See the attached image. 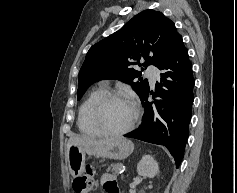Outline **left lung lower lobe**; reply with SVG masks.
Wrapping results in <instances>:
<instances>
[{"instance_id":"left-lung-lower-lobe-1","label":"left lung lower lobe","mask_w":237,"mask_h":193,"mask_svg":"<svg viewBox=\"0 0 237 193\" xmlns=\"http://www.w3.org/2000/svg\"><path fill=\"white\" fill-rule=\"evenodd\" d=\"M157 68L161 74L155 93L148 89L141 98L145 108L142 123L137 130L124 136L166 146L178 168L188 139L195 84L192 65L182 38ZM149 94L158 99L149 102Z\"/></svg>"}]
</instances>
